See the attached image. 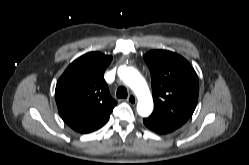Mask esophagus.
<instances>
[{"label":"esophagus","instance_id":"1","mask_svg":"<svg viewBox=\"0 0 249 165\" xmlns=\"http://www.w3.org/2000/svg\"><path fill=\"white\" fill-rule=\"evenodd\" d=\"M127 102L131 105H135L137 103L136 96L133 93H131L127 98Z\"/></svg>","mask_w":249,"mask_h":165}]
</instances>
